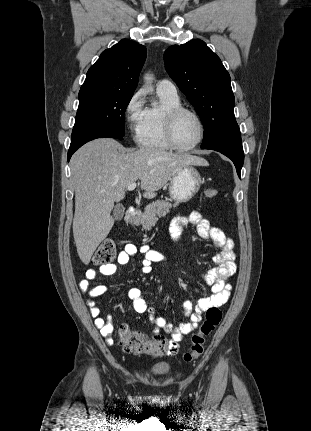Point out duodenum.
<instances>
[{"instance_id": "1", "label": "duodenum", "mask_w": 311, "mask_h": 431, "mask_svg": "<svg viewBox=\"0 0 311 431\" xmlns=\"http://www.w3.org/2000/svg\"><path fill=\"white\" fill-rule=\"evenodd\" d=\"M139 215V210L136 207H129L125 212V221L127 223H133Z\"/></svg>"}]
</instances>
